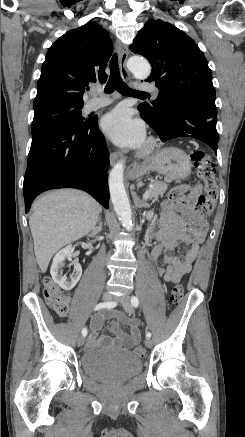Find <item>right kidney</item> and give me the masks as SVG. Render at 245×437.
Returning a JSON list of instances; mask_svg holds the SVG:
<instances>
[{"instance_id": "right-kidney-1", "label": "right kidney", "mask_w": 245, "mask_h": 437, "mask_svg": "<svg viewBox=\"0 0 245 437\" xmlns=\"http://www.w3.org/2000/svg\"><path fill=\"white\" fill-rule=\"evenodd\" d=\"M72 261V246L60 250L53 258L51 266V276L55 283H57L62 289L69 291L75 287L82 275V267L77 261H73L74 272L71 278L68 280L66 275H63L62 268L64 267L65 261Z\"/></svg>"}]
</instances>
